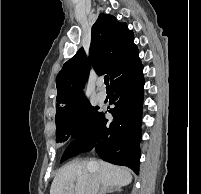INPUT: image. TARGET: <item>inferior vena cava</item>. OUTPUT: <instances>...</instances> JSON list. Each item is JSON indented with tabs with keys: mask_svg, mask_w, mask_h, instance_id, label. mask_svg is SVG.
I'll return each instance as SVG.
<instances>
[{
	"mask_svg": "<svg viewBox=\"0 0 201 194\" xmlns=\"http://www.w3.org/2000/svg\"><path fill=\"white\" fill-rule=\"evenodd\" d=\"M91 167H96L97 163L96 162H91L90 163ZM100 189V181H99V176L98 173H92L90 181L87 185L86 189V194H99L98 191Z\"/></svg>",
	"mask_w": 201,
	"mask_h": 194,
	"instance_id": "inferior-vena-cava-1",
	"label": "inferior vena cava"
}]
</instances>
